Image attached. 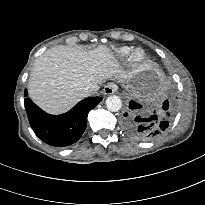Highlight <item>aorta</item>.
I'll return each instance as SVG.
<instances>
[{
	"label": "aorta",
	"mask_w": 205,
	"mask_h": 205,
	"mask_svg": "<svg viewBox=\"0 0 205 205\" xmlns=\"http://www.w3.org/2000/svg\"><path fill=\"white\" fill-rule=\"evenodd\" d=\"M106 107L111 112H117L122 107L121 99L118 96H109L106 99Z\"/></svg>",
	"instance_id": "obj_1"
}]
</instances>
